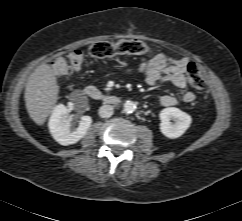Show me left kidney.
<instances>
[{
	"instance_id": "1",
	"label": "left kidney",
	"mask_w": 242,
	"mask_h": 221,
	"mask_svg": "<svg viewBox=\"0 0 242 221\" xmlns=\"http://www.w3.org/2000/svg\"><path fill=\"white\" fill-rule=\"evenodd\" d=\"M160 131L170 139L180 137L190 127L192 118L189 114L175 107L163 109L159 114Z\"/></svg>"
}]
</instances>
